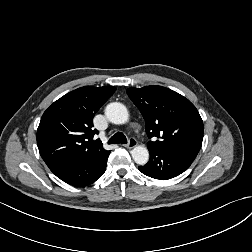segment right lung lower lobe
Returning <instances> with one entry per match:
<instances>
[{
    "label": "right lung lower lobe",
    "mask_w": 252,
    "mask_h": 252,
    "mask_svg": "<svg viewBox=\"0 0 252 252\" xmlns=\"http://www.w3.org/2000/svg\"><path fill=\"white\" fill-rule=\"evenodd\" d=\"M109 154L99 159H82L67 164L53 173L73 186H87L99 179L105 172Z\"/></svg>",
    "instance_id": "1"
}]
</instances>
